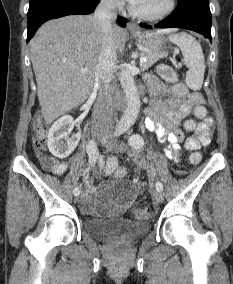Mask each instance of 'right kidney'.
I'll return each instance as SVG.
<instances>
[{
	"mask_svg": "<svg viewBox=\"0 0 233 284\" xmlns=\"http://www.w3.org/2000/svg\"><path fill=\"white\" fill-rule=\"evenodd\" d=\"M74 126L70 115H64L53 123L48 133L49 151L57 158L68 157L77 147L81 131L69 137L68 130Z\"/></svg>",
	"mask_w": 233,
	"mask_h": 284,
	"instance_id": "1",
	"label": "right kidney"
}]
</instances>
